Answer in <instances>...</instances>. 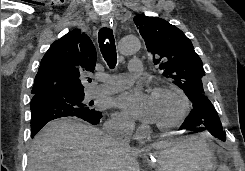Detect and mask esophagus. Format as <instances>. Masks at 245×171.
<instances>
[{"label": "esophagus", "instance_id": "34e87169", "mask_svg": "<svg viewBox=\"0 0 245 171\" xmlns=\"http://www.w3.org/2000/svg\"><path fill=\"white\" fill-rule=\"evenodd\" d=\"M101 23H102V26H103V27H109V26L112 25V24H111V21L109 20V17H108V16H103V17L101 18Z\"/></svg>", "mask_w": 245, "mask_h": 171}]
</instances>
